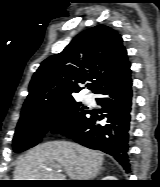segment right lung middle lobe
Here are the masks:
<instances>
[{
  "instance_id": "obj_1",
  "label": "right lung middle lobe",
  "mask_w": 160,
  "mask_h": 187,
  "mask_svg": "<svg viewBox=\"0 0 160 187\" xmlns=\"http://www.w3.org/2000/svg\"><path fill=\"white\" fill-rule=\"evenodd\" d=\"M89 112L87 107L71 99L43 110L21 113L13 138L14 151L22 152L37 145L52 128L54 133L68 135Z\"/></svg>"
}]
</instances>
